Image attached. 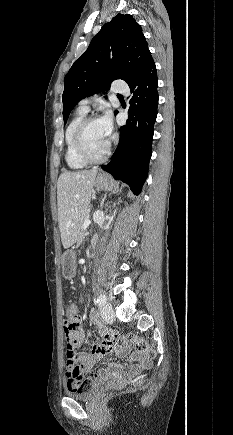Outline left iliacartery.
Masks as SVG:
<instances>
[{
	"instance_id": "left-iliac-artery-1",
	"label": "left iliac artery",
	"mask_w": 233,
	"mask_h": 435,
	"mask_svg": "<svg viewBox=\"0 0 233 435\" xmlns=\"http://www.w3.org/2000/svg\"><path fill=\"white\" fill-rule=\"evenodd\" d=\"M96 302L99 306H103L106 303V296L102 294L99 295Z\"/></svg>"
}]
</instances>
